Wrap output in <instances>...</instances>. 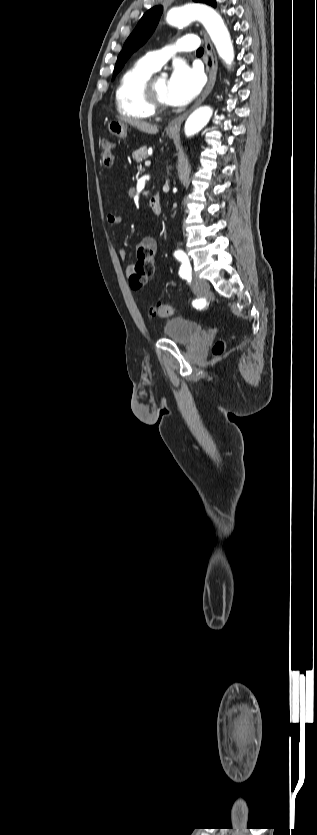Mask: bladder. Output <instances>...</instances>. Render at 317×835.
<instances>
[{"instance_id":"31cf9c89","label":"bladder","mask_w":317,"mask_h":835,"mask_svg":"<svg viewBox=\"0 0 317 835\" xmlns=\"http://www.w3.org/2000/svg\"><path fill=\"white\" fill-rule=\"evenodd\" d=\"M165 338L181 345L195 341L203 332V326L183 317H172L163 326Z\"/></svg>"}]
</instances>
